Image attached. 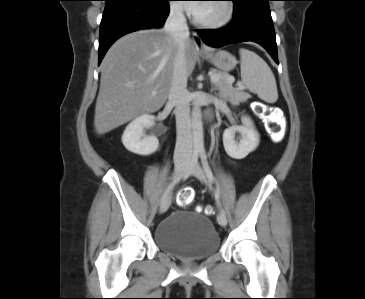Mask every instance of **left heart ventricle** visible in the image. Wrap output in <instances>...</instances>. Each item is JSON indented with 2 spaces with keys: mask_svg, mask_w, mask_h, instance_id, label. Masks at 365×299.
Masks as SVG:
<instances>
[{
  "mask_svg": "<svg viewBox=\"0 0 365 299\" xmlns=\"http://www.w3.org/2000/svg\"><path fill=\"white\" fill-rule=\"evenodd\" d=\"M225 13V7L221 2H211L203 5L196 15L202 21H213L221 18Z\"/></svg>",
  "mask_w": 365,
  "mask_h": 299,
  "instance_id": "left-heart-ventricle-1",
  "label": "left heart ventricle"
}]
</instances>
